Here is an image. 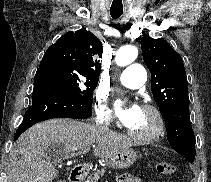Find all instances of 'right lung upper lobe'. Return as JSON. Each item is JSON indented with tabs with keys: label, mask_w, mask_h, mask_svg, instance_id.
<instances>
[{
	"label": "right lung upper lobe",
	"mask_w": 211,
	"mask_h": 182,
	"mask_svg": "<svg viewBox=\"0 0 211 182\" xmlns=\"http://www.w3.org/2000/svg\"><path fill=\"white\" fill-rule=\"evenodd\" d=\"M102 52V42L93 33L87 30L67 32L47 49L40 67L57 63L99 79L101 64L95 56L101 57Z\"/></svg>",
	"instance_id": "obj_1"
}]
</instances>
